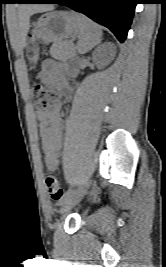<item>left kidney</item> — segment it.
<instances>
[{
    "instance_id": "left-kidney-1",
    "label": "left kidney",
    "mask_w": 166,
    "mask_h": 267,
    "mask_svg": "<svg viewBox=\"0 0 166 267\" xmlns=\"http://www.w3.org/2000/svg\"><path fill=\"white\" fill-rule=\"evenodd\" d=\"M107 45H109L110 47H114L112 44L107 43ZM93 61L95 62V64L97 65V67L99 69L105 67L106 65H108L111 62L110 58H99L98 55H94L93 56Z\"/></svg>"
}]
</instances>
